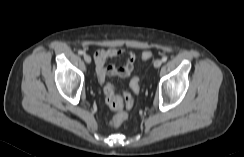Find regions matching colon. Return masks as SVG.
Here are the masks:
<instances>
[{"mask_svg": "<svg viewBox=\"0 0 244 157\" xmlns=\"http://www.w3.org/2000/svg\"><path fill=\"white\" fill-rule=\"evenodd\" d=\"M151 57V51H144L141 54V59L144 61L149 60ZM130 84L134 92L137 93L140 89L139 79L137 77H133ZM104 94L108 106L112 110L116 111V114L112 117L110 121V125L113 127H119L127 119L125 109H129L133 106V97L128 93H123L122 96L117 95L115 93L113 85L109 82L106 83L104 87Z\"/></svg>", "mask_w": 244, "mask_h": 157, "instance_id": "1", "label": "colon"}]
</instances>
